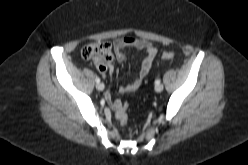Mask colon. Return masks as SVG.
Listing matches in <instances>:
<instances>
[{"instance_id": "5ec220e1", "label": "colon", "mask_w": 248, "mask_h": 165, "mask_svg": "<svg viewBox=\"0 0 248 165\" xmlns=\"http://www.w3.org/2000/svg\"><path fill=\"white\" fill-rule=\"evenodd\" d=\"M81 55L86 60L94 61L99 70H106L113 58L111 45L105 41L88 43L82 48ZM173 58L174 54L172 52L162 54L164 60H172ZM110 103L116 111V118L120 125H126L128 104L112 99H110Z\"/></svg>"}]
</instances>
